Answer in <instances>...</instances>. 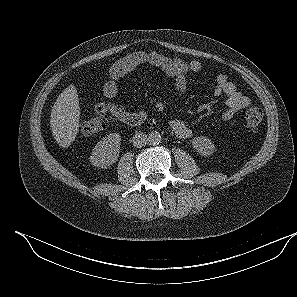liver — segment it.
Segmentation results:
<instances>
[{
    "mask_svg": "<svg viewBox=\"0 0 297 297\" xmlns=\"http://www.w3.org/2000/svg\"><path fill=\"white\" fill-rule=\"evenodd\" d=\"M50 127L59 146L67 148L75 140L80 127V105L74 85H69L56 99Z\"/></svg>",
    "mask_w": 297,
    "mask_h": 297,
    "instance_id": "obj_1",
    "label": "liver"
}]
</instances>
